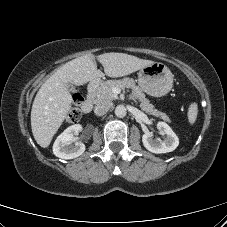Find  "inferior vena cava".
Returning a JSON list of instances; mask_svg holds the SVG:
<instances>
[{"label":"inferior vena cava","mask_w":227,"mask_h":227,"mask_svg":"<svg viewBox=\"0 0 227 227\" xmlns=\"http://www.w3.org/2000/svg\"><path fill=\"white\" fill-rule=\"evenodd\" d=\"M113 107V103L108 100H103L97 103L94 109V113L97 116L105 115L111 108Z\"/></svg>","instance_id":"602c4592"}]
</instances>
